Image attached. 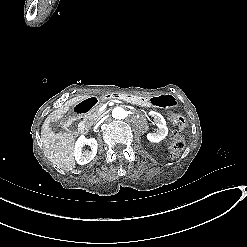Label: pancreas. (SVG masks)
<instances>
[{
	"label": "pancreas",
	"instance_id": "1",
	"mask_svg": "<svg viewBox=\"0 0 247 247\" xmlns=\"http://www.w3.org/2000/svg\"><path fill=\"white\" fill-rule=\"evenodd\" d=\"M100 107V104L93 107L86 115L87 120L89 121H93L95 120L97 117L101 116L103 113L102 112H98V109Z\"/></svg>",
	"mask_w": 247,
	"mask_h": 247
}]
</instances>
